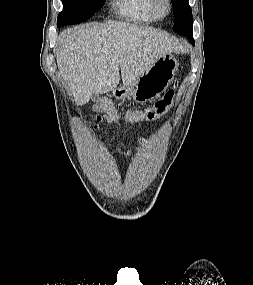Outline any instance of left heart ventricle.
Listing matches in <instances>:
<instances>
[{
    "label": "left heart ventricle",
    "instance_id": "obj_1",
    "mask_svg": "<svg viewBox=\"0 0 253 285\" xmlns=\"http://www.w3.org/2000/svg\"><path fill=\"white\" fill-rule=\"evenodd\" d=\"M157 11L160 14H164L166 12V4L163 0H158L156 5Z\"/></svg>",
    "mask_w": 253,
    "mask_h": 285
}]
</instances>
